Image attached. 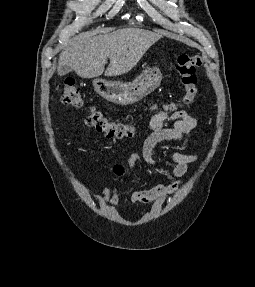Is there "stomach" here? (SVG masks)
<instances>
[{
  "instance_id": "0dacf381",
  "label": "stomach",
  "mask_w": 255,
  "mask_h": 287,
  "mask_svg": "<svg viewBox=\"0 0 255 287\" xmlns=\"http://www.w3.org/2000/svg\"><path fill=\"white\" fill-rule=\"evenodd\" d=\"M159 72L145 70L134 82H107V80H93L95 92L107 102L130 106L158 88L161 82Z\"/></svg>"
}]
</instances>
